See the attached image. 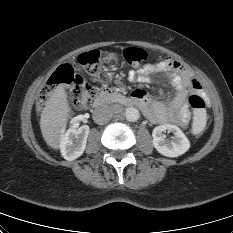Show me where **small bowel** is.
<instances>
[{"label": "small bowel", "mask_w": 233, "mask_h": 233, "mask_svg": "<svg viewBox=\"0 0 233 233\" xmlns=\"http://www.w3.org/2000/svg\"><path fill=\"white\" fill-rule=\"evenodd\" d=\"M130 81L151 83L156 79H166L176 88L175 97L167 102L152 101L147 92L137 89L133 92L134 102L140 106L148 117L156 123H170L185 127L190 120L191 112L187 102L191 92L201 94V83L179 61L172 57L165 58L154 64H147L128 73Z\"/></svg>", "instance_id": "1"}]
</instances>
